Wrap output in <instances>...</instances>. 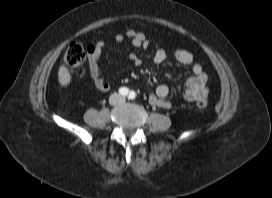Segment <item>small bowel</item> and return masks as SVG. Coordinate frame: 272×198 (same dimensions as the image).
<instances>
[{
  "label": "small bowel",
  "instance_id": "1",
  "mask_svg": "<svg viewBox=\"0 0 272 198\" xmlns=\"http://www.w3.org/2000/svg\"><path fill=\"white\" fill-rule=\"evenodd\" d=\"M125 37L129 38L132 44L137 47L147 49L150 46V41L142 32L127 30L125 34L117 35L115 40L117 42H122ZM103 48L104 42L97 41L88 45L87 52L89 73L92 83L96 90L100 92H107L110 90L111 85L104 79L100 67V56ZM173 57L178 63L189 67L192 71V76L185 82L184 98L190 102L197 101L200 98H206L208 93L206 87L208 79L207 74L204 72L202 66L195 61L194 56L184 49H176L173 52ZM166 59L167 52L164 49H158L153 56V61L157 65L163 64ZM128 60L134 66H139L141 64L140 58L135 54H130L128 56ZM169 94L170 88L167 85H160L156 88L155 93L149 97V102L155 107L170 109L172 104L167 100Z\"/></svg>",
  "mask_w": 272,
  "mask_h": 198
}]
</instances>
